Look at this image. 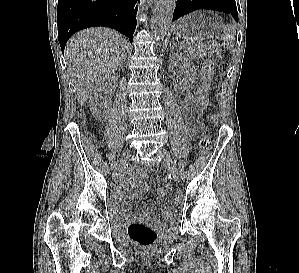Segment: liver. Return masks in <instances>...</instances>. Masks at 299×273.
I'll list each match as a JSON object with an SVG mask.
<instances>
[{
  "label": "liver",
  "mask_w": 299,
  "mask_h": 273,
  "mask_svg": "<svg viewBox=\"0 0 299 273\" xmlns=\"http://www.w3.org/2000/svg\"><path fill=\"white\" fill-rule=\"evenodd\" d=\"M126 43L121 34L106 28L80 31L67 42L65 58L80 106L87 102L99 77L120 67Z\"/></svg>",
  "instance_id": "1"
}]
</instances>
